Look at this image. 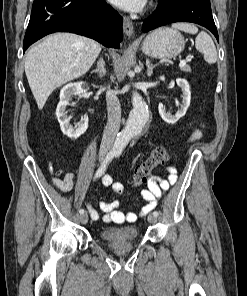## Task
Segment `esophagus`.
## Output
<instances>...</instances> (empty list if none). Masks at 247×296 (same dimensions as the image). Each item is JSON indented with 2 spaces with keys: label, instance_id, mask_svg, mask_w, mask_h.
Instances as JSON below:
<instances>
[{
  "label": "esophagus",
  "instance_id": "1",
  "mask_svg": "<svg viewBox=\"0 0 247 296\" xmlns=\"http://www.w3.org/2000/svg\"><path fill=\"white\" fill-rule=\"evenodd\" d=\"M123 31L127 37H131L134 33L133 23L128 17L123 19Z\"/></svg>",
  "mask_w": 247,
  "mask_h": 296
}]
</instances>
